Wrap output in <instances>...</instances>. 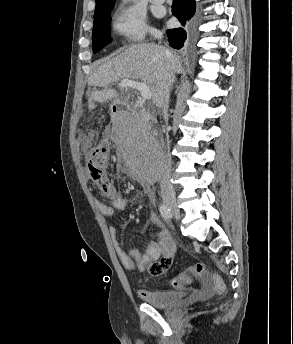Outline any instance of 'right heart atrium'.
<instances>
[{"instance_id": "right-heart-atrium-1", "label": "right heart atrium", "mask_w": 293, "mask_h": 344, "mask_svg": "<svg viewBox=\"0 0 293 344\" xmlns=\"http://www.w3.org/2000/svg\"><path fill=\"white\" fill-rule=\"evenodd\" d=\"M111 28L129 46L142 44L148 36H157L145 16L134 7H119L111 19Z\"/></svg>"}]
</instances>
